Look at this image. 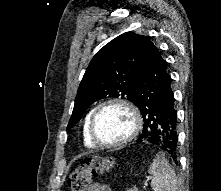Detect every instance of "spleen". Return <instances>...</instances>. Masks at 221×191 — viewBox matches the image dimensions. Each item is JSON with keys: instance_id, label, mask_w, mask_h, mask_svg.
I'll return each mask as SVG.
<instances>
[{"instance_id": "spleen-1", "label": "spleen", "mask_w": 221, "mask_h": 191, "mask_svg": "<svg viewBox=\"0 0 221 191\" xmlns=\"http://www.w3.org/2000/svg\"><path fill=\"white\" fill-rule=\"evenodd\" d=\"M149 173L152 175L151 187L154 191H177V178L163 153L156 154Z\"/></svg>"}]
</instances>
